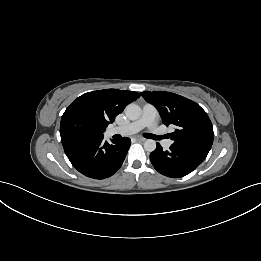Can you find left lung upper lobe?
<instances>
[{"mask_svg": "<svg viewBox=\"0 0 261 261\" xmlns=\"http://www.w3.org/2000/svg\"><path fill=\"white\" fill-rule=\"evenodd\" d=\"M141 95L157 108L166 126H175V131L169 134L173 144L211 149L214 137L212 123L197 103L171 92L146 91Z\"/></svg>", "mask_w": 261, "mask_h": 261, "instance_id": "5c2ea615", "label": "left lung upper lobe"}]
</instances>
